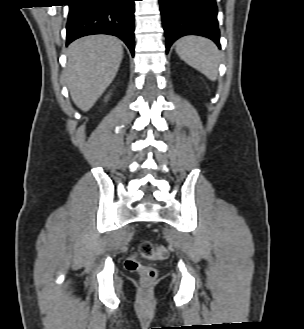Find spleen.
Wrapping results in <instances>:
<instances>
[{
  "instance_id": "spleen-1",
  "label": "spleen",
  "mask_w": 304,
  "mask_h": 329,
  "mask_svg": "<svg viewBox=\"0 0 304 329\" xmlns=\"http://www.w3.org/2000/svg\"><path fill=\"white\" fill-rule=\"evenodd\" d=\"M176 53L188 65L215 81L218 76L219 51L209 39L186 36L176 42Z\"/></svg>"
}]
</instances>
